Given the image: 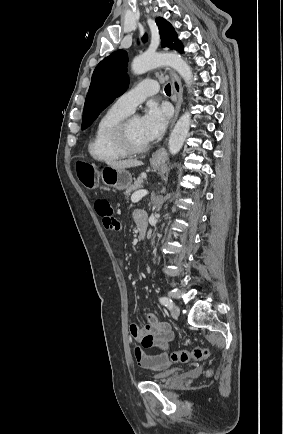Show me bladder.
<instances>
[{
	"label": "bladder",
	"mask_w": 283,
	"mask_h": 434,
	"mask_svg": "<svg viewBox=\"0 0 283 434\" xmlns=\"http://www.w3.org/2000/svg\"><path fill=\"white\" fill-rule=\"evenodd\" d=\"M176 371H177V369H175V368L165 369V370L150 374L149 378L152 380H156V381L166 380V379H169L170 377H172L176 373Z\"/></svg>",
	"instance_id": "1"
}]
</instances>
